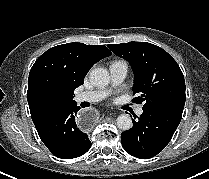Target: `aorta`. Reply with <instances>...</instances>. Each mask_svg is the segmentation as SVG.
<instances>
[{
	"label": "aorta",
	"mask_w": 209,
	"mask_h": 179,
	"mask_svg": "<svg viewBox=\"0 0 209 179\" xmlns=\"http://www.w3.org/2000/svg\"><path fill=\"white\" fill-rule=\"evenodd\" d=\"M90 82L97 87H103L109 84L110 75L109 72L104 68H94L90 72ZM117 126L119 129L126 131L129 130L133 123L130 115L121 114L117 117L116 120Z\"/></svg>",
	"instance_id": "762f6f07"
}]
</instances>
